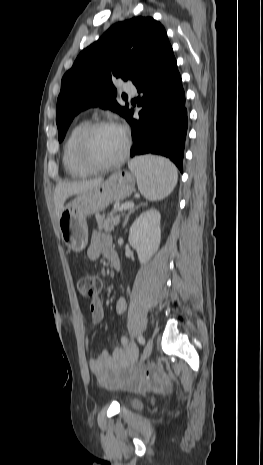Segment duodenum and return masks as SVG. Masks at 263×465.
I'll use <instances>...</instances> for the list:
<instances>
[{"instance_id":"410a0bca","label":"duodenum","mask_w":263,"mask_h":465,"mask_svg":"<svg viewBox=\"0 0 263 465\" xmlns=\"http://www.w3.org/2000/svg\"><path fill=\"white\" fill-rule=\"evenodd\" d=\"M109 260L112 264V266L116 269V270H119L120 269V261H119V258H118V255L116 254V252H112L109 256Z\"/></svg>"}]
</instances>
